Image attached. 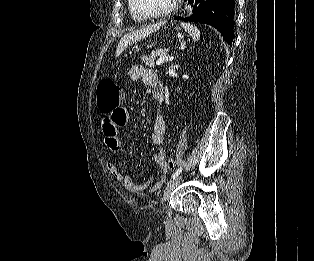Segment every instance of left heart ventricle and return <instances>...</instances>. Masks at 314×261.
<instances>
[{
    "mask_svg": "<svg viewBox=\"0 0 314 261\" xmlns=\"http://www.w3.org/2000/svg\"><path fill=\"white\" fill-rule=\"evenodd\" d=\"M141 9L148 13H155L166 9L172 0H138Z\"/></svg>",
    "mask_w": 314,
    "mask_h": 261,
    "instance_id": "b2bd125f",
    "label": "left heart ventricle"
}]
</instances>
